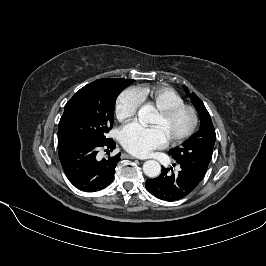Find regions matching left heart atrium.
<instances>
[{"label":"left heart atrium","mask_w":266,"mask_h":266,"mask_svg":"<svg viewBox=\"0 0 266 266\" xmlns=\"http://www.w3.org/2000/svg\"><path fill=\"white\" fill-rule=\"evenodd\" d=\"M120 142L131 154L146 157L153 150L164 147L168 142V137L158 126L144 127L133 122L122 128Z\"/></svg>","instance_id":"left-heart-atrium-1"}]
</instances>
